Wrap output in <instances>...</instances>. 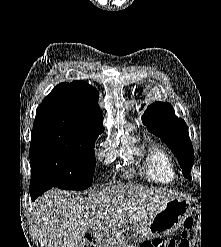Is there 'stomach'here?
<instances>
[{
    "label": "stomach",
    "mask_w": 221,
    "mask_h": 247,
    "mask_svg": "<svg viewBox=\"0 0 221 247\" xmlns=\"http://www.w3.org/2000/svg\"><path fill=\"white\" fill-rule=\"evenodd\" d=\"M187 199L175 197L146 221L133 223L108 232H97L99 247H140L146 239L161 237L176 231L191 213Z\"/></svg>",
    "instance_id": "obj_1"
}]
</instances>
